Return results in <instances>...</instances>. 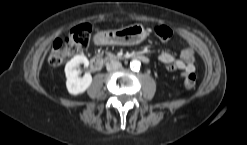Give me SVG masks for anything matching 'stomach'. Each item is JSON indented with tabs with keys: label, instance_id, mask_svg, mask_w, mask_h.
<instances>
[{
	"label": "stomach",
	"instance_id": "1",
	"mask_svg": "<svg viewBox=\"0 0 247 145\" xmlns=\"http://www.w3.org/2000/svg\"><path fill=\"white\" fill-rule=\"evenodd\" d=\"M100 35L104 44L136 45L147 37L148 31L140 24H133L116 30L103 31Z\"/></svg>",
	"mask_w": 247,
	"mask_h": 145
}]
</instances>
